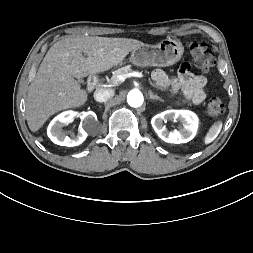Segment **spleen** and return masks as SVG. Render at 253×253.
<instances>
[{
	"instance_id": "3e777b00",
	"label": "spleen",
	"mask_w": 253,
	"mask_h": 253,
	"mask_svg": "<svg viewBox=\"0 0 253 253\" xmlns=\"http://www.w3.org/2000/svg\"><path fill=\"white\" fill-rule=\"evenodd\" d=\"M221 129H222L221 121H217L216 123H214L207 132L204 138V143L210 144L211 142H213L220 133Z\"/></svg>"
}]
</instances>
